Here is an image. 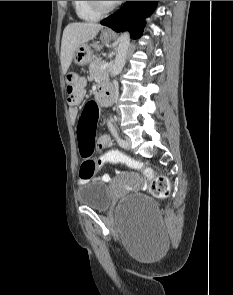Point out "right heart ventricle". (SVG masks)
Wrapping results in <instances>:
<instances>
[{
    "label": "right heart ventricle",
    "instance_id": "e07e8e85",
    "mask_svg": "<svg viewBox=\"0 0 233 295\" xmlns=\"http://www.w3.org/2000/svg\"><path fill=\"white\" fill-rule=\"evenodd\" d=\"M73 9L77 17L84 21H96L100 15L89 5L88 1H72Z\"/></svg>",
    "mask_w": 233,
    "mask_h": 295
}]
</instances>
